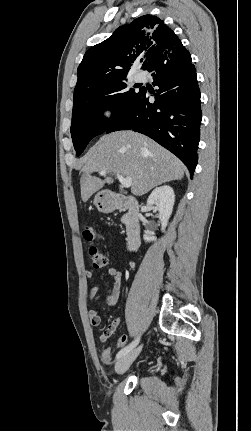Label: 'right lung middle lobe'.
I'll return each instance as SVG.
<instances>
[{"instance_id": "right-lung-middle-lobe-1", "label": "right lung middle lobe", "mask_w": 251, "mask_h": 431, "mask_svg": "<svg viewBox=\"0 0 251 431\" xmlns=\"http://www.w3.org/2000/svg\"><path fill=\"white\" fill-rule=\"evenodd\" d=\"M126 77L100 88L74 95L71 136L79 156L89 141L106 131L111 121L117 117L137 94L127 90ZM110 109V119L103 117V111Z\"/></svg>"}]
</instances>
